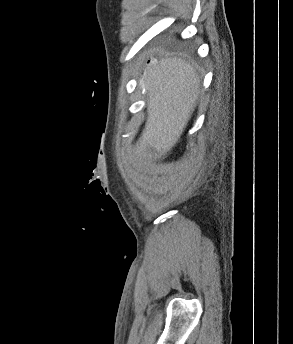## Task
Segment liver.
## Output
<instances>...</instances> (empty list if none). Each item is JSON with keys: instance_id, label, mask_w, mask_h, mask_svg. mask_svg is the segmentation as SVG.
I'll return each mask as SVG.
<instances>
[{"instance_id": "obj_1", "label": "liver", "mask_w": 293, "mask_h": 344, "mask_svg": "<svg viewBox=\"0 0 293 344\" xmlns=\"http://www.w3.org/2000/svg\"><path fill=\"white\" fill-rule=\"evenodd\" d=\"M148 118L135 146L137 158H160L172 150L184 131L200 93V78L181 58L152 59L143 70Z\"/></svg>"}]
</instances>
